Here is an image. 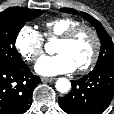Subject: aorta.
<instances>
[{
  "label": "aorta",
  "instance_id": "1",
  "mask_svg": "<svg viewBox=\"0 0 114 114\" xmlns=\"http://www.w3.org/2000/svg\"><path fill=\"white\" fill-rule=\"evenodd\" d=\"M49 44L46 45V49H48ZM56 90L61 93H66L71 89V83L66 78H60L56 82Z\"/></svg>",
  "mask_w": 114,
  "mask_h": 114
}]
</instances>
